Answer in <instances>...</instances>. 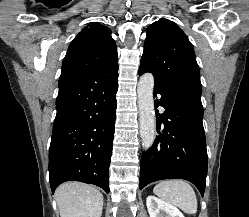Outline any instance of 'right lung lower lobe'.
Segmentation results:
<instances>
[{"label":"right lung lower lobe","instance_id":"98d812e1","mask_svg":"<svg viewBox=\"0 0 249 217\" xmlns=\"http://www.w3.org/2000/svg\"><path fill=\"white\" fill-rule=\"evenodd\" d=\"M118 64L99 72L61 75L49 148L52 193L70 180L109 192Z\"/></svg>","mask_w":249,"mask_h":217}]
</instances>
